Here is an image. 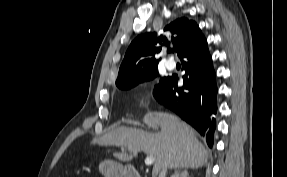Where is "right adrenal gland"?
Here are the masks:
<instances>
[{
    "instance_id": "2a0ac1e0",
    "label": "right adrenal gland",
    "mask_w": 287,
    "mask_h": 177,
    "mask_svg": "<svg viewBox=\"0 0 287 177\" xmlns=\"http://www.w3.org/2000/svg\"><path fill=\"white\" fill-rule=\"evenodd\" d=\"M171 177H188V171L181 168L175 169Z\"/></svg>"
}]
</instances>
